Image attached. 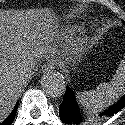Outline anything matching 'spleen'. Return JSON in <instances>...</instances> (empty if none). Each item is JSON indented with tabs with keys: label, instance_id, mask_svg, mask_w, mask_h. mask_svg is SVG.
Instances as JSON below:
<instances>
[{
	"label": "spleen",
	"instance_id": "1",
	"mask_svg": "<svg viewBox=\"0 0 125 125\" xmlns=\"http://www.w3.org/2000/svg\"><path fill=\"white\" fill-rule=\"evenodd\" d=\"M123 94H125V60L120 62L110 83H101L96 90L78 92L77 98L86 110L95 113L113 104Z\"/></svg>",
	"mask_w": 125,
	"mask_h": 125
}]
</instances>
